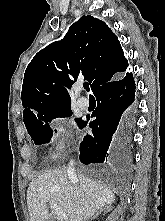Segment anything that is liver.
I'll list each match as a JSON object with an SVG mask.
<instances>
[{
	"mask_svg": "<svg viewBox=\"0 0 165 221\" xmlns=\"http://www.w3.org/2000/svg\"><path fill=\"white\" fill-rule=\"evenodd\" d=\"M114 201L115 196L107 185L83 175L70 177L65 169L39 174L27 189L31 221H48L50 202L66 213L64 221H86Z\"/></svg>",
	"mask_w": 165,
	"mask_h": 221,
	"instance_id": "obj_1",
	"label": "liver"
}]
</instances>
